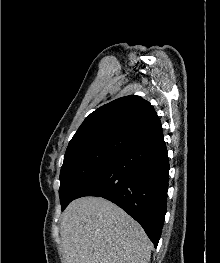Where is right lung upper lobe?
Returning a JSON list of instances; mask_svg holds the SVG:
<instances>
[{
	"label": "right lung upper lobe",
	"mask_w": 220,
	"mask_h": 263,
	"mask_svg": "<svg viewBox=\"0 0 220 263\" xmlns=\"http://www.w3.org/2000/svg\"><path fill=\"white\" fill-rule=\"evenodd\" d=\"M161 133L153 106L139 96L129 95L92 112L70 140L66 153L92 148L123 150Z\"/></svg>",
	"instance_id": "right-lung-upper-lobe-1"
}]
</instances>
